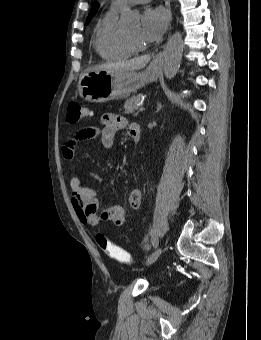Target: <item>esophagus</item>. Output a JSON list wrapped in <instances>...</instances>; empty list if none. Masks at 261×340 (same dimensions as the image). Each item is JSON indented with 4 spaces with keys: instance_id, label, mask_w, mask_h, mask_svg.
<instances>
[{
    "instance_id": "esophagus-1",
    "label": "esophagus",
    "mask_w": 261,
    "mask_h": 340,
    "mask_svg": "<svg viewBox=\"0 0 261 340\" xmlns=\"http://www.w3.org/2000/svg\"><path fill=\"white\" fill-rule=\"evenodd\" d=\"M165 5L171 15V5H170V0H165ZM164 48H165V45L162 46V49L155 55L154 57V61L155 62H159L163 59V56H164Z\"/></svg>"
}]
</instances>
